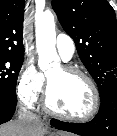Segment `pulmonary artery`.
Instances as JSON below:
<instances>
[{"label":"pulmonary artery","instance_id":"obj_1","mask_svg":"<svg viewBox=\"0 0 117 136\" xmlns=\"http://www.w3.org/2000/svg\"><path fill=\"white\" fill-rule=\"evenodd\" d=\"M56 49L65 61H69L75 52L73 39L66 34H59L56 38Z\"/></svg>","mask_w":117,"mask_h":136}]
</instances>
